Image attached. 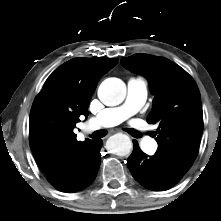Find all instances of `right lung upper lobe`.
Masks as SVG:
<instances>
[{
  "mask_svg": "<svg viewBox=\"0 0 221 221\" xmlns=\"http://www.w3.org/2000/svg\"><path fill=\"white\" fill-rule=\"evenodd\" d=\"M113 58H74L46 80L30 112V147L50 183H60L93 142L73 132L100 78L117 64Z\"/></svg>",
  "mask_w": 221,
  "mask_h": 221,
  "instance_id": "obj_1",
  "label": "right lung upper lobe"
}]
</instances>
